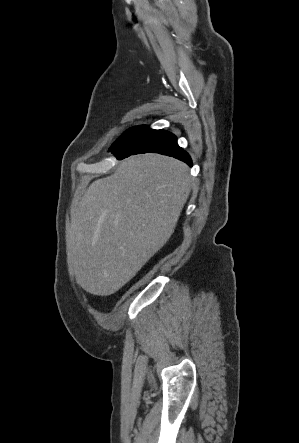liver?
<instances>
[{
  "mask_svg": "<svg viewBox=\"0 0 299 443\" xmlns=\"http://www.w3.org/2000/svg\"><path fill=\"white\" fill-rule=\"evenodd\" d=\"M190 191L188 166L159 154L131 156L94 181L71 218L77 284L93 295L117 292L169 240Z\"/></svg>",
  "mask_w": 299,
  "mask_h": 443,
  "instance_id": "6515ba94",
  "label": "liver"
}]
</instances>
